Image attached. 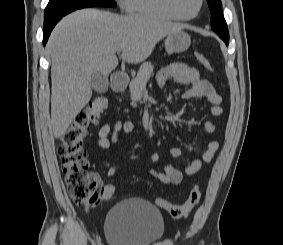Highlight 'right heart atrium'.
I'll return each instance as SVG.
<instances>
[{"label":"right heart atrium","instance_id":"right-heart-atrium-1","mask_svg":"<svg viewBox=\"0 0 283 245\" xmlns=\"http://www.w3.org/2000/svg\"><path fill=\"white\" fill-rule=\"evenodd\" d=\"M126 1H127V0H116V2L118 3V5H119L121 8H125Z\"/></svg>","mask_w":283,"mask_h":245}]
</instances>
